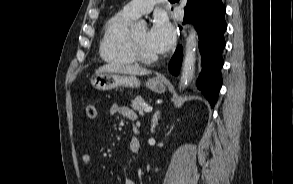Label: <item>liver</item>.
I'll use <instances>...</instances> for the list:
<instances>
[{
	"label": "liver",
	"instance_id": "6515ba94",
	"mask_svg": "<svg viewBox=\"0 0 293 184\" xmlns=\"http://www.w3.org/2000/svg\"><path fill=\"white\" fill-rule=\"evenodd\" d=\"M97 72H114L129 75H149L151 72L138 65H123L117 63H110L99 67Z\"/></svg>",
	"mask_w": 293,
	"mask_h": 184
}]
</instances>
